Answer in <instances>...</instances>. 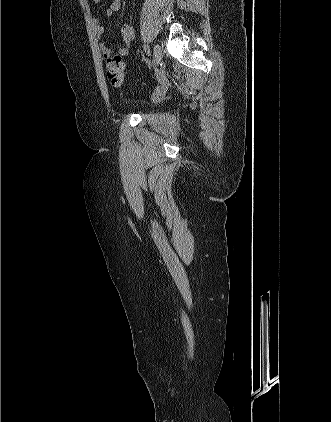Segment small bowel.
I'll use <instances>...</instances> for the list:
<instances>
[{
  "label": "small bowel",
  "instance_id": "small-bowel-1",
  "mask_svg": "<svg viewBox=\"0 0 331 422\" xmlns=\"http://www.w3.org/2000/svg\"><path fill=\"white\" fill-rule=\"evenodd\" d=\"M94 3L98 4L101 0H93ZM122 7V0H112L109 7L105 10V14L108 18L112 17V15L116 12H118ZM93 28L96 36L98 39H100V51L106 61L114 58V57H120L123 59L124 57L128 56L130 53V49L132 46V43L135 39V29L134 27L128 25L127 23H124L121 26V34H122V40L124 43V46L117 51H113L110 47L107 46V44L103 41H101V38L104 34V28L102 25H100L97 18H93Z\"/></svg>",
  "mask_w": 331,
  "mask_h": 422
}]
</instances>
